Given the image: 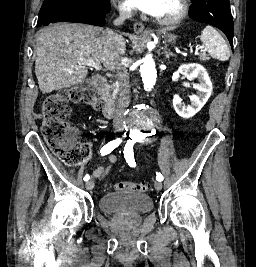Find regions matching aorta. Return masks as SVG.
I'll use <instances>...</instances> for the list:
<instances>
[{"instance_id": "obj_1", "label": "aorta", "mask_w": 256, "mask_h": 267, "mask_svg": "<svg viewBox=\"0 0 256 267\" xmlns=\"http://www.w3.org/2000/svg\"><path fill=\"white\" fill-rule=\"evenodd\" d=\"M147 46L148 48L149 46L155 48L153 42H148ZM156 71L157 66L152 54H147L143 58L141 66V80L142 83H145V86H152V83H155ZM155 113L156 108H146L145 104H142L141 108H131L129 122H126V127H154V122H161V117H155ZM136 133H145V128H136ZM143 143H158V138H143Z\"/></svg>"}]
</instances>
